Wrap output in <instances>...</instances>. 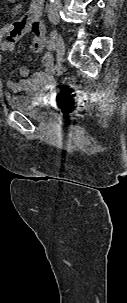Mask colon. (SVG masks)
Instances as JSON below:
<instances>
[{
    "instance_id": "1",
    "label": "colon",
    "mask_w": 127,
    "mask_h": 303,
    "mask_svg": "<svg viewBox=\"0 0 127 303\" xmlns=\"http://www.w3.org/2000/svg\"><path fill=\"white\" fill-rule=\"evenodd\" d=\"M65 83L68 87H74L75 86V82L72 78H67ZM62 98H63L66 106H68V107L74 106V104L77 100H79L82 103L84 102L83 93H81V92L72 93V94H64V95H62Z\"/></svg>"
}]
</instances>
